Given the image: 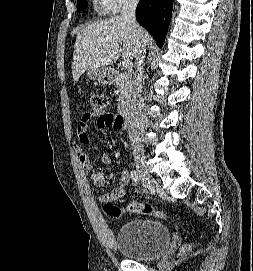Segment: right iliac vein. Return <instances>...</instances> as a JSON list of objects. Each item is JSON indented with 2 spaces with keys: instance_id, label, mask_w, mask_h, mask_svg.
<instances>
[{
  "instance_id": "1",
  "label": "right iliac vein",
  "mask_w": 253,
  "mask_h": 271,
  "mask_svg": "<svg viewBox=\"0 0 253 271\" xmlns=\"http://www.w3.org/2000/svg\"><path fill=\"white\" fill-rule=\"evenodd\" d=\"M135 164L140 175V178L145 186H156V182L148 171L145 156L143 151H136L134 153Z\"/></svg>"
}]
</instances>
